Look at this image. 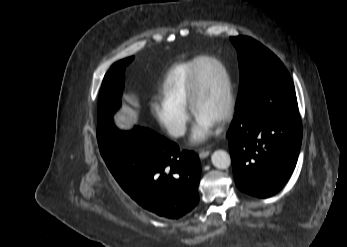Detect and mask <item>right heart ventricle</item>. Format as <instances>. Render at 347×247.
<instances>
[{"label": "right heart ventricle", "instance_id": "e07e8e85", "mask_svg": "<svg viewBox=\"0 0 347 247\" xmlns=\"http://www.w3.org/2000/svg\"><path fill=\"white\" fill-rule=\"evenodd\" d=\"M199 60L200 58H195L178 63L168 71L160 90L163 100L175 105L188 106L190 76Z\"/></svg>", "mask_w": 347, "mask_h": 247}]
</instances>
